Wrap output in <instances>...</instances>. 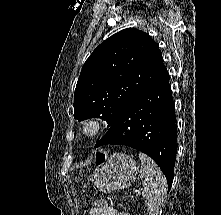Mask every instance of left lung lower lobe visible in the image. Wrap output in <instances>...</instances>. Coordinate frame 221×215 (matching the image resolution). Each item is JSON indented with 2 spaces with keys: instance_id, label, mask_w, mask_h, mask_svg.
I'll return each mask as SVG.
<instances>
[{
  "instance_id": "1",
  "label": "left lung lower lobe",
  "mask_w": 221,
  "mask_h": 215,
  "mask_svg": "<svg viewBox=\"0 0 221 215\" xmlns=\"http://www.w3.org/2000/svg\"><path fill=\"white\" fill-rule=\"evenodd\" d=\"M108 144L126 145L150 156L165 174L170 189L176 159V123L167 70L132 101L95 147Z\"/></svg>"
}]
</instances>
